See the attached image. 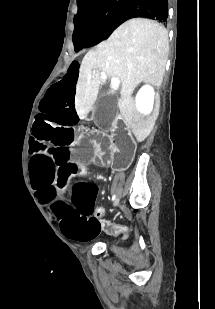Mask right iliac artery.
Returning a JSON list of instances; mask_svg holds the SVG:
<instances>
[{
	"label": "right iliac artery",
	"instance_id": "82829eb1",
	"mask_svg": "<svg viewBox=\"0 0 215 309\" xmlns=\"http://www.w3.org/2000/svg\"><path fill=\"white\" fill-rule=\"evenodd\" d=\"M116 198L115 194L112 196V200L114 201ZM116 202V201H115Z\"/></svg>",
	"mask_w": 215,
	"mask_h": 309
}]
</instances>
